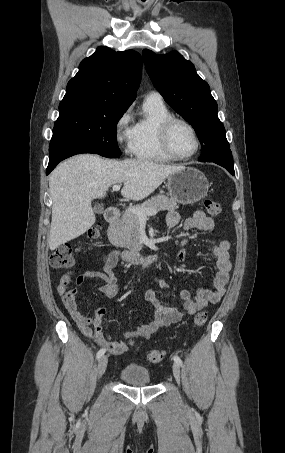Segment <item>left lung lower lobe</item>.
I'll return each instance as SVG.
<instances>
[{
    "label": "left lung lower lobe",
    "instance_id": "0a47b994",
    "mask_svg": "<svg viewBox=\"0 0 285 453\" xmlns=\"http://www.w3.org/2000/svg\"><path fill=\"white\" fill-rule=\"evenodd\" d=\"M211 162L219 164V165L223 166L224 168H226L231 174H233V175L235 174L234 165H228V164H225V163H223L221 161H211Z\"/></svg>",
    "mask_w": 285,
    "mask_h": 453
}]
</instances>
